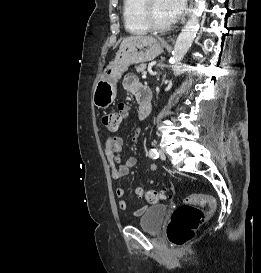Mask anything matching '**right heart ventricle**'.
<instances>
[{"label":"right heart ventricle","instance_id":"obj_1","mask_svg":"<svg viewBox=\"0 0 261 273\" xmlns=\"http://www.w3.org/2000/svg\"><path fill=\"white\" fill-rule=\"evenodd\" d=\"M143 0H123V22L128 33L143 35L149 32L142 18Z\"/></svg>","mask_w":261,"mask_h":273}]
</instances>
